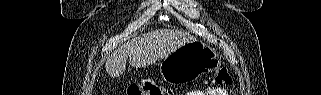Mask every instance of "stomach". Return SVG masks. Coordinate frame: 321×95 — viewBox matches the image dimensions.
<instances>
[{"label": "stomach", "instance_id": "stomach-1", "mask_svg": "<svg viewBox=\"0 0 321 95\" xmlns=\"http://www.w3.org/2000/svg\"><path fill=\"white\" fill-rule=\"evenodd\" d=\"M221 65L216 50L202 41L188 42L164 57L160 73L169 84H179L198 78Z\"/></svg>", "mask_w": 321, "mask_h": 95}]
</instances>
